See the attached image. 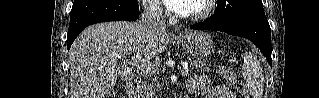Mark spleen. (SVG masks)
<instances>
[{
	"mask_svg": "<svg viewBox=\"0 0 319 98\" xmlns=\"http://www.w3.org/2000/svg\"><path fill=\"white\" fill-rule=\"evenodd\" d=\"M242 75L246 80L248 90L253 98H262L264 88V75L260 62L251 52L244 55Z\"/></svg>",
	"mask_w": 319,
	"mask_h": 98,
	"instance_id": "1",
	"label": "spleen"
}]
</instances>
